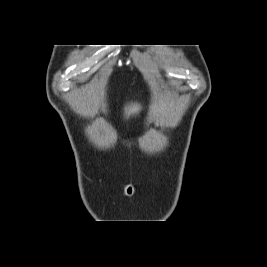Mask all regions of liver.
Masks as SVG:
<instances>
[{"instance_id":"6515ba94","label":"liver","mask_w":267,"mask_h":267,"mask_svg":"<svg viewBox=\"0 0 267 267\" xmlns=\"http://www.w3.org/2000/svg\"><path fill=\"white\" fill-rule=\"evenodd\" d=\"M140 110V105H138L137 103H132L128 107H125V115L129 117L130 115L138 114Z\"/></svg>"}]
</instances>
